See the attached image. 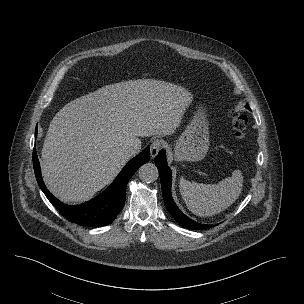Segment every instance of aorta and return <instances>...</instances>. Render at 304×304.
Returning a JSON list of instances; mask_svg holds the SVG:
<instances>
[{
  "label": "aorta",
  "mask_w": 304,
  "mask_h": 304,
  "mask_svg": "<svg viewBox=\"0 0 304 304\" xmlns=\"http://www.w3.org/2000/svg\"><path fill=\"white\" fill-rule=\"evenodd\" d=\"M139 177L145 183H152L158 179V169L153 163H146L139 168Z\"/></svg>",
  "instance_id": "aorta-1"
}]
</instances>
